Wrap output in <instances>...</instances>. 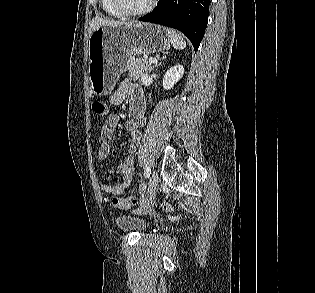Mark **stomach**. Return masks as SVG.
I'll return each instance as SVG.
<instances>
[{
    "mask_svg": "<svg viewBox=\"0 0 315 293\" xmlns=\"http://www.w3.org/2000/svg\"><path fill=\"white\" fill-rule=\"evenodd\" d=\"M170 43L167 30L151 23L98 27L91 33L88 46L91 94H109L126 71L129 57L163 51Z\"/></svg>",
    "mask_w": 315,
    "mask_h": 293,
    "instance_id": "0dacf381",
    "label": "stomach"
}]
</instances>
